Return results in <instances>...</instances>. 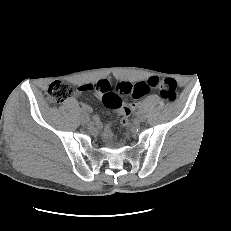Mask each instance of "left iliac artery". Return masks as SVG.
Instances as JSON below:
<instances>
[{
    "label": "left iliac artery",
    "instance_id": "obj_1",
    "mask_svg": "<svg viewBox=\"0 0 231 231\" xmlns=\"http://www.w3.org/2000/svg\"><path fill=\"white\" fill-rule=\"evenodd\" d=\"M137 110L138 111H143L144 110V105L143 104H138L137 105Z\"/></svg>",
    "mask_w": 231,
    "mask_h": 231
}]
</instances>
